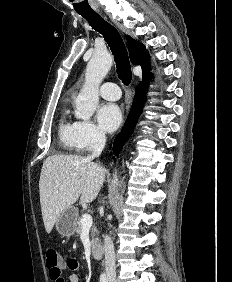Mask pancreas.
I'll use <instances>...</instances> for the list:
<instances>
[{"mask_svg":"<svg viewBox=\"0 0 232 282\" xmlns=\"http://www.w3.org/2000/svg\"><path fill=\"white\" fill-rule=\"evenodd\" d=\"M82 230V223H81V218H79L77 221H76V233H80ZM97 232V229L95 226H92L91 227V237H92V241H91V244L94 245L96 243V238H95V233Z\"/></svg>","mask_w":232,"mask_h":282,"instance_id":"1","label":"pancreas"}]
</instances>
